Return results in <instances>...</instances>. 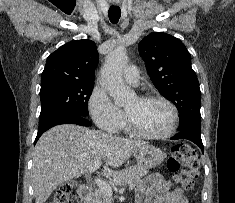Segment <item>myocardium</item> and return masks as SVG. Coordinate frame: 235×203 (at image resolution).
I'll return each mask as SVG.
<instances>
[{
    "mask_svg": "<svg viewBox=\"0 0 235 203\" xmlns=\"http://www.w3.org/2000/svg\"><path fill=\"white\" fill-rule=\"evenodd\" d=\"M140 99L144 101H159L167 105L171 111L170 124L168 128L161 133H147L139 129L133 123L130 116L126 112L125 124H126L127 130L135 136H138L144 139H150V140H160V139H165V138L172 136L174 132L176 131L178 122H179V113L174 103L170 101L169 99L160 95H143L140 97Z\"/></svg>",
    "mask_w": 235,
    "mask_h": 203,
    "instance_id": "obj_1",
    "label": "myocardium"
}]
</instances>
